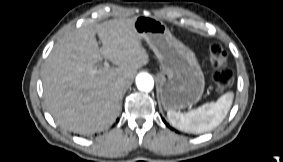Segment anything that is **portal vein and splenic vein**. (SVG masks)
Returning a JSON list of instances; mask_svg holds the SVG:
<instances>
[{
    "label": "portal vein and splenic vein",
    "instance_id": "1",
    "mask_svg": "<svg viewBox=\"0 0 283 162\" xmlns=\"http://www.w3.org/2000/svg\"><path fill=\"white\" fill-rule=\"evenodd\" d=\"M104 67L106 68V69H108L109 68V63L108 62H104Z\"/></svg>",
    "mask_w": 283,
    "mask_h": 162
}]
</instances>
